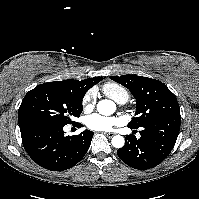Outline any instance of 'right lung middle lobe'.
Returning a JSON list of instances; mask_svg holds the SVG:
<instances>
[{"mask_svg":"<svg viewBox=\"0 0 199 199\" xmlns=\"http://www.w3.org/2000/svg\"><path fill=\"white\" fill-rule=\"evenodd\" d=\"M84 94L72 92L54 83H44L29 91L18 110L19 124L44 121L71 124V117H79Z\"/></svg>","mask_w":199,"mask_h":199,"instance_id":"right-lung-middle-lobe-1","label":"right lung middle lobe"}]
</instances>
